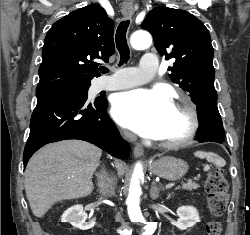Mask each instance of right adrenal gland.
Segmentation results:
<instances>
[{"mask_svg": "<svg viewBox=\"0 0 250 235\" xmlns=\"http://www.w3.org/2000/svg\"><path fill=\"white\" fill-rule=\"evenodd\" d=\"M102 173H105V169L104 168H102Z\"/></svg>", "mask_w": 250, "mask_h": 235, "instance_id": "1", "label": "right adrenal gland"}]
</instances>
